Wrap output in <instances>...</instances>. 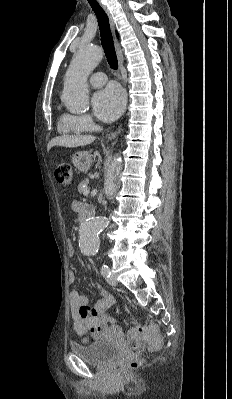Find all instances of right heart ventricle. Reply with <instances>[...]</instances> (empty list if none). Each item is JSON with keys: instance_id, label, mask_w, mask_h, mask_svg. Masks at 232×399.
Here are the masks:
<instances>
[{"instance_id": "obj_1", "label": "right heart ventricle", "mask_w": 232, "mask_h": 399, "mask_svg": "<svg viewBox=\"0 0 232 399\" xmlns=\"http://www.w3.org/2000/svg\"><path fill=\"white\" fill-rule=\"evenodd\" d=\"M94 127L87 129L76 116L67 114L61 115L57 122L58 133L71 139L82 137L87 131L93 130Z\"/></svg>"}]
</instances>
